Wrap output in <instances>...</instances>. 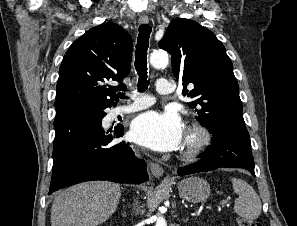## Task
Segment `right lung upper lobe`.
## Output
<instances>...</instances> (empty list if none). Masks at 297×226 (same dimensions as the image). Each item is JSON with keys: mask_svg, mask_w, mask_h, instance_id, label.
<instances>
[{"mask_svg": "<svg viewBox=\"0 0 297 226\" xmlns=\"http://www.w3.org/2000/svg\"><path fill=\"white\" fill-rule=\"evenodd\" d=\"M132 39L115 23L93 27L67 50L56 87L57 113L83 105L111 107L118 101V87L108 81L122 80L131 66Z\"/></svg>", "mask_w": 297, "mask_h": 226, "instance_id": "cb5924a9", "label": "right lung upper lobe"}]
</instances>
